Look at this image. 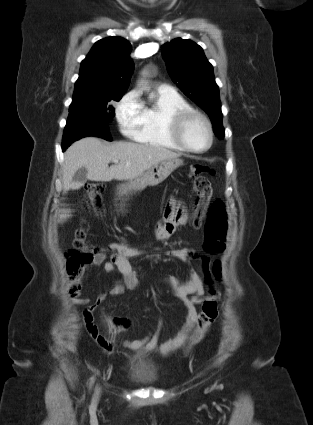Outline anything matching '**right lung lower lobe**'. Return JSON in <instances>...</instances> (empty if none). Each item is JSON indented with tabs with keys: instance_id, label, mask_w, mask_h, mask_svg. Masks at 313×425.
<instances>
[{
	"instance_id": "98d812e1",
	"label": "right lung lower lobe",
	"mask_w": 313,
	"mask_h": 425,
	"mask_svg": "<svg viewBox=\"0 0 313 425\" xmlns=\"http://www.w3.org/2000/svg\"><path fill=\"white\" fill-rule=\"evenodd\" d=\"M87 136H97L111 141L106 123L90 116H77L74 118L72 124H66L62 150L65 151L72 142Z\"/></svg>"
}]
</instances>
